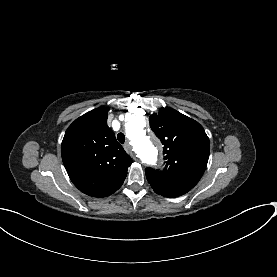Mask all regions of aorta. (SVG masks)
Returning <instances> with one entry per match:
<instances>
[{
  "label": "aorta",
  "mask_w": 277,
  "mask_h": 277,
  "mask_svg": "<svg viewBox=\"0 0 277 277\" xmlns=\"http://www.w3.org/2000/svg\"><path fill=\"white\" fill-rule=\"evenodd\" d=\"M145 120L142 116H132L126 123V134L135 152L143 163L154 165L157 161V147L153 138L146 134Z\"/></svg>",
  "instance_id": "1"
}]
</instances>
